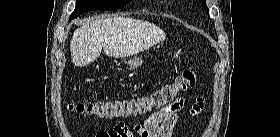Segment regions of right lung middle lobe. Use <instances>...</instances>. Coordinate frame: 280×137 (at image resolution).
<instances>
[{"instance_id":"dd1d6c3e","label":"right lung middle lobe","mask_w":280,"mask_h":137,"mask_svg":"<svg viewBox=\"0 0 280 137\" xmlns=\"http://www.w3.org/2000/svg\"><path fill=\"white\" fill-rule=\"evenodd\" d=\"M131 0H77L74 12L71 14L70 19L76 18L84 12L91 10H114L124 7Z\"/></svg>"}]
</instances>
